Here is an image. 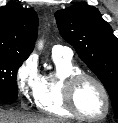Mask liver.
Returning <instances> with one entry per match:
<instances>
[{"instance_id": "6515ba94", "label": "liver", "mask_w": 118, "mask_h": 123, "mask_svg": "<svg viewBox=\"0 0 118 123\" xmlns=\"http://www.w3.org/2000/svg\"><path fill=\"white\" fill-rule=\"evenodd\" d=\"M0 123H66L65 121L50 116L24 114L16 111L0 110Z\"/></svg>"}]
</instances>
